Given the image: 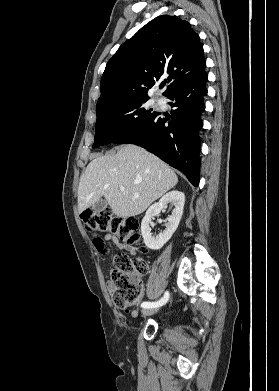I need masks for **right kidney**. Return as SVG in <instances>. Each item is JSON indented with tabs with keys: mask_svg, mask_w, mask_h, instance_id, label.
I'll return each mask as SVG.
<instances>
[{
	"mask_svg": "<svg viewBox=\"0 0 279 391\" xmlns=\"http://www.w3.org/2000/svg\"><path fill=\"white\" fill-rule=\"evenodd\" d=\"M168 203L174 205L172 214L167 217V223L165 224L166 228L164 231H161L156 237L152 236L150 223L155 216L159 215L162 210L166 207ZM185 204V195L183 192L178 190H172L165 194L157 203L151 205L141 222V233L145 245L152 250H159L163 245L172 237L173 233L176 231L182 214Z\"/></svg>",
	"mask_w": 279,
	"mask_h": 391,
	"instance_id": "ca27d5eb",
	"label": "right kidney"
}]
</instances>
